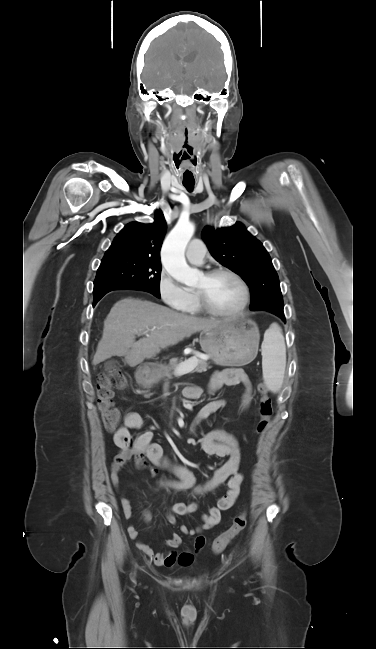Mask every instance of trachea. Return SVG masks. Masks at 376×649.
<instances>
[{
	"instance_id": "1",
	"label": "trachea",
	"mask_w": 376,
	"mask_h": 649,
	"mask_svg": "<svg viewBox=\"0 0 376 649\" xmlns=\"http://www.w3.org/2000/svg\"><path fill=\"white\" fill-rule=\"evenodd\" d=\"M194 184L195 183H184L183 185L188 191H192L194 189Z\"/></svg>"
}]
</instances>
